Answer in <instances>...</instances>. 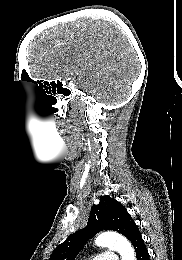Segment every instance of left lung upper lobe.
I'll use <instances>...</instances> for the list:
<instances>
[{"label": "left lung upper lobe", "instance_id": "obj_1", "mask_svg": "<svg viewBox=\"0 0 182 260\" xmlns=\"http://www.w3.org/2000/svg\"><path fill=\"white\" fill-rule=\"evenodd\" d=\"M137 225L126 208L114 198L103 196L91 207L87 226L59 244L49 260H74L84 244L99 231L114 230L128 237Z\"/></svg>", "mask_w": 182, "mask_h": 260}]
</instances>
